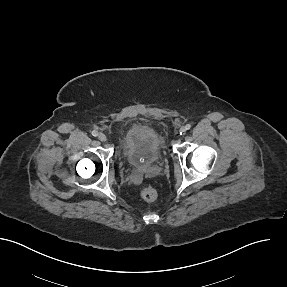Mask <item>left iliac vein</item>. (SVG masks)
Wrapping results in <instances>:
<instances>
[{
    "label": "left iliac vein",
    "instance_id": "1",
    "mask_svg": "<svg viewBox=\"0 0 287 287\" xmlns=\"http://www.w3.org/2000/svg\"><path fill=\"white\" fill-rule=\"evenodd\" d=\"M180 132H181V133H185V132H186L185 127H181V128H180Z\"/></svg>",
    "mask_w": 287,
    "mask_h": 287
}]
</instances>
